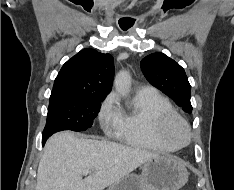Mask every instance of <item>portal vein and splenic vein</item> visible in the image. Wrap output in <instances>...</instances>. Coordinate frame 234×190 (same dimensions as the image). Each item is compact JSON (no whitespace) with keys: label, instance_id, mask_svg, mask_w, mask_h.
Masks as SVG:
<instances>
[{"label":"portal vein and splenic vein","instance_id":"portal-vein-and-splenic-vein-1","mask_svg":"<svg viewBox=\"0 0 234 190\" xmlns=\"http://www.w3.org/2000/svg\"><path fill=\"white\" fill-rule=\"evenodd\" d=\"M89 173H90L89 170H84V171H83V175H88Z\"/></svg>","mask_w":234,"mask_h":190}]
</instances>
